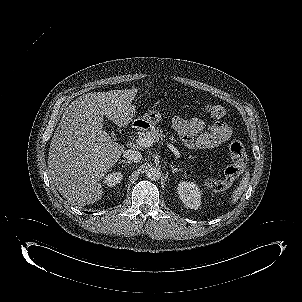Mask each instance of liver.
I'll return each mask as SVG.
<instances>
[{
    "instance_id": "6515ba94",
    "label": "liver",
    "mask_w": 302,
    "mask_h": 302,
    "mask_svg": "<svg viewBox=\"0 0 302 302\" xmlns=\"http://www.w3.org/2000/svg\"><path fill=\"white\" fill-rule=\"evenodd\" d=\"M133 90L91 92L66 108L50 143L48 168L58 191L77 205L97 202L100 180L118 161L124 146L103 129L104 116L119 127L134 117Z\"/></svg>"
}]
</instances>
